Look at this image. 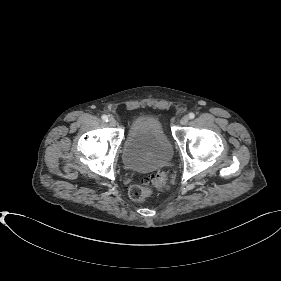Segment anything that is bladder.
Listing matches in <instances>:
<instances>
[{"label":"bladder","instance_id":"1","mask_svg":"<svg viewBox=\"0 0 281 281\" xmlns=\"http://www.w3.org/2000/svg\"><path fill=\"white\" fill-rule=\"evenodd\" d=\"M172 156V145L158 117L142 115L132 121L123 152L127 167L151 171L167 165Z\"/></svg>","mask_w":281,"mask_h":281}]
</instances>
